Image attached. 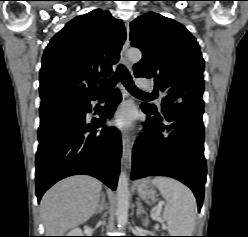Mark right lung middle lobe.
<instances>
[{"label": "right lung middle lobe", "mask_w": 248, "mask_h": 237, "mask_svg": "<svg viewBox=\"0 0 248 237\" xmlns=\"http://www.w3.org/2000/svg\"><path fill=\"white\" fill-rule=\"evenodd\" d=\"M64 102H79V101H64ZM59 103H63V102H59Z\"/></svg>", "instance_id": "obj_1"}]
</instances>
